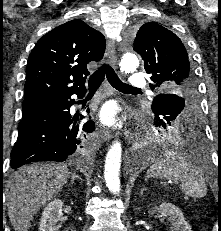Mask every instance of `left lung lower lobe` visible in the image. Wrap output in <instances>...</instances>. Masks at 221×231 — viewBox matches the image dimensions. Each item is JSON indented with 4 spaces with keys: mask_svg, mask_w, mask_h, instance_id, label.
<instances>
[{
    "mask_svg": "<svg viewBox=\"0 0 221 231\" xmlns=\"http://www.w3.org/2000/svg\"><path fill=\"white\" fill-rule=\"evenodd\" d=\"M155 101L160 102L161 105L165 104H175V100L173 96L169 93L160 94L154 98ZM173 105L171 106V108ZM185 107V106H184ZM168 112H162L161 117L155 122L156 126L164 127L170 123V121L174 120L177 115L167 114ZM202 126L200 123V119L192 115L190 117V121L185 124L182 128L176 130H170V132L166 135V140L168 142H172L176 145L183 146L187 149L192 155H196L198 153H203L202 147Z\"/></svg>",
    "mask_w": 221,
    "mask_h": 231,
    "instance_id": "0a47b994",
    "label": "left lung lower lobe"
}]
</instances>
